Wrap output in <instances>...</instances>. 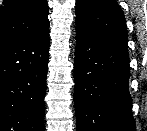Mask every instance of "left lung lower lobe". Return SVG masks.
<instances>
[{
  "mask_svg": "<svg viewBox=\"0 0 147 131\" xmlns=\"http://www.w3.org/2000/svg\"><path fill=\"white\" fill-rule=\"evenodd\" d=\"M76 41L74 100L77 131H135L127 46L77 22Z\"/></svg>",
  "mask_w": 147,
  "mask_h": 131,
  "instance_id": "0a47b994",
  "label": "left lung lower lobe"
}]
</instances>
